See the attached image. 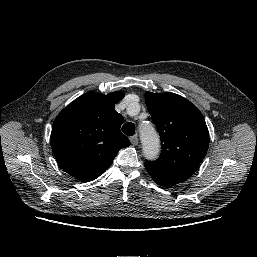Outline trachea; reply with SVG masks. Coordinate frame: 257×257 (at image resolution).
Returning a JSON list of instances; mask_svg holds the SVG:
<instances>
[{"instance_id":"trachea-1","label":"trachea","mask_w":257,"mask_h":257,"mask_svg":"<svg viewBox=\"0 0 257 257\" xmlns=\"http://www.w3.org/2000/svg\"><path fill=\"white\" fill-rule=\"evenodd\" d=\"M122 131L127 135V136H133L135 133V125L131 122H127L122 126Z\"/></svg>"}]
</instances>
